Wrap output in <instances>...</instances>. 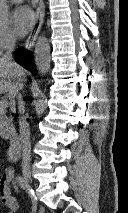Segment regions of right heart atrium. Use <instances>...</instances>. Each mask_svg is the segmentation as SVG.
Returning a JSON list of instances; mask_svg holds the SVG:
<instances>
[{"label": "right heart atrium", "mask_w": 128, "mask_h": 213, "mask_svg": "<svg viewBox=\"0 0 128 213\" xmlns=\"http://www.w3.org/2000/svg\"><path fill=\"white\" fill-rule=\"evenodd\" d=\"M15 42L16 37L10 30L0 28V53L12 47Z\"/></svg>", "instance_id": "1"}]
</instances>
